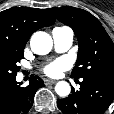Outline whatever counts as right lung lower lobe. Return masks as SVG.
<instances>
[{
  "label": "right lung lower lobe",
  "instance_id": "1",
  "mask_svg": "<svg viewBox=\"0 0 114 114\" xmlns=\"http://www.w3.org/2000/svg\"><path fill=\"white\" fill-rule=\"evenodd\" d=\"M43 86V80L34 75L26 87H21L16 78L0 82V114H27L36 91Z\"/></svg>",
  "mask_w": 114,
  "mask_h": 114
}]
</instances>
